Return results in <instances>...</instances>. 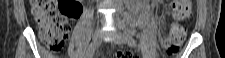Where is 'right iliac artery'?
Listing matches in <instances>:
<instances>
[{
	"mask_svg": "<svg viewBox=\"0 0 225 58\" xmlns=\"http://www.w3.org/2000/svg\"><path fill=\"white\" fill-rule=\"evenodd\" d=\"M93 53H94V50H92V48L89 47L84 58H92Z\"/></svg>",
	"mask_w": 225,
	"mask_h": 58,
	"instance_id": "right-iliac-artery-1",
	"label": "right iliac artery"
}]
</instances>
